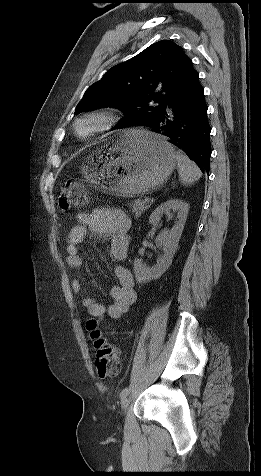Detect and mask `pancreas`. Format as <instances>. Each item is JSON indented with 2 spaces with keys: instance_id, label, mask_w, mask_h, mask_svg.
<instances>
[{
  "instance_id": "pancreas-1",
  "label": "pancreas",
  "mask_w": 261,
  "mask_h": 476,
  "mask_svg": "<svg viewBox=\"0 0 261 476\" xmlns=\"http://www.w3.org/2000/svg\"><path fill=\"white\" fill-rule=\"evenodd\" d=\"M149 207L142 200H136L131 204V210L135 218H139Z\"/></svg>"
}]
</instances>
